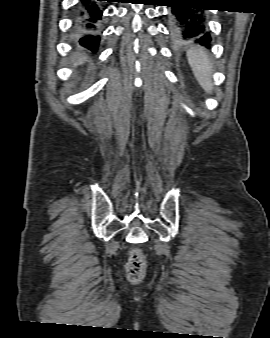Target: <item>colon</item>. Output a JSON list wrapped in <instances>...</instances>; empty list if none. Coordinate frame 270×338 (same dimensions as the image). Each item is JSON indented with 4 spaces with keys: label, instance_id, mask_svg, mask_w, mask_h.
Masks as SVG:
<instances>
[{
    "label": "colon",
    "instance_id": "5ec220e1",
    "mask_svg": "<svg viewBox=\"0 0 270 338\" xmlns=\"http://www.w3.org/2000/svg\"><path fill=\"white\" fill-rule=\"evenodd\" d=\"M144 257L139 250H132L126 263L127 278L131 282H138L144 272Z\"/></svg>",
    "mask_w": 270,
    "mask_h": 338
}]
</instances>
